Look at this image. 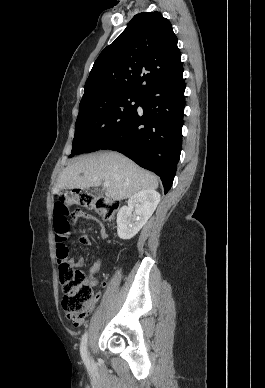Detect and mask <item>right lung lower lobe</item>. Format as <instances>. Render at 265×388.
Wrapping results in <instances>:
<instances>
[{
  "label": "right lung lower lobe",
  "mask_w": 265,
  "mask_h": 388,
  "mask_svg": "<svg viewBox=\"0 0 265 388\" xmlns=\"http://www.w3.org/2000/svg\"><path fill=\"white\" fill-rule=\"evenodd\" d=\"M185 82L181 76L146 90L139 107L100 149L118 151L172 186L182 144Z\"/></svg>",
  "instance_id": "obj_1"
}]
</instances>
